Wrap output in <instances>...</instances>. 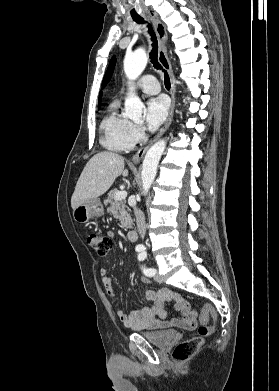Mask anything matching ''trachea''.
Masks as SVG:
<instances>
[{
  "label": "trachea",
  "instance_id": "obj_1",
  "mask_svg": "<svg viewBox=\"0 0 279 391\" xmlns=\"http://www.w3.org/2000/svg\"><path fill=\"white\" fill-rule=\"evenodd\" d=\"M134 21H135L136 23H138V24L144 23V20H143L142 18H134ZM147 27H148V32H149V34L151 35V40H152V50H151V52H150V59H151V62L153 63V65H154V67H155L156 69H158V70H163V69H162V66H161V64L158 62V58H157V57H158V53H157V51H158V48H157V38H156V36H155V33H154V31H153L151 25L148 24ZM163 72H164L165 87H166V89L169 90V89H170V86H171V84H170V78H169L168 73H167L165 70H163Z\"/></svg>",
  "mask_w": 279,
  "mask_h": 391
}]
</instances>
